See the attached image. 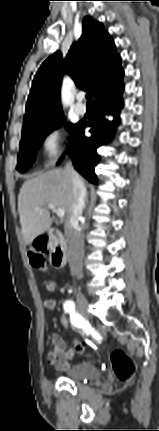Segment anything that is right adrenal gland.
I'll list each match as a JSON object with an SVG mask.
<instances>
[{
	"label": "right adrenal gland",
	"instance_id": "obj_1",
	"mask_svg": "<svg viewBox=\"0 0 159 431\" xmlns=\"http://www.w3.org/2000/svg\"><path fill=\"white\" fill-rule=\"evenodd\" d=\"M87 203H88V196L86 197V204H85L84 208H86Z\"/></svg>",
	"mask_w": 159,
	"mask_h": 431
}]
</instances>
